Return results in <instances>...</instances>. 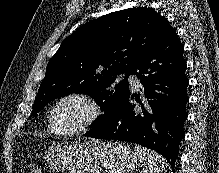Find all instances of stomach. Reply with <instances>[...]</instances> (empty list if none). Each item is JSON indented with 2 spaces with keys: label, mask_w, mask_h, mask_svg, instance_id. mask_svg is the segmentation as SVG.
I'll return each instance as SVG.
<instances>
[{
  "label": "stomach",
  "mask_w": 219,
  "mask_h": 173,
  "mask_svg": "<svg viewBox=\"0 0 219 173\" xmlns=\"http://www.w3.org/2000/svg\"><path fill=\"white\" fill-rule=\"evenodd\" d=\"M46 165L66 173H133L138 157L124 142L60 143L44 155Z\"/></svg>",
  "instance_id": "obj_1"
}]
</instances>
